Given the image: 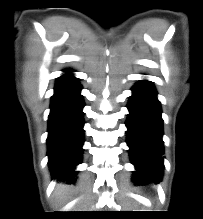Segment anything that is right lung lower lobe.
Returning a JSON list of instances; mask_svg holds the SVG:
<instances>
[{
  "instance_id": "98d812e1",
  "label": "right lung lower lobe",
  "mask_w": 203,
  "mask_h": 219,
  "mask_svg": "<svg viewBox=\"0 0 203 219\" xmlns=\"http://www.w3.org/2000/svg\"><path fill=\"white\" fill-rule=\"evenodd\" d=\"M56 80L48 116V156L52 176L69 182L75 181V167L82 158L83 97L82 86L70 74V69Z\"/></svg>"
}]
</instances>
